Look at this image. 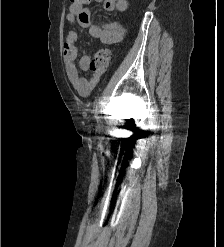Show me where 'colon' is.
Segmentation results:
<instances>
[{"mask_svg": "<svg viewBox=\"0 0 224 247\" xmlns=\"http://www.w3.org/2000/svg\"><path fill=\"white\" fill-rule=\"evenodd\" d=\"M71 6L81 7L85 0H70ZM110 62V50L107 48L99 49L93 56L90 69L93 73L102 74L108 67Z\"/></svg>", "mask_w": 224, "mask_h": 247, "instance_id": "obj_1", "label": "colon"}]
</instances>
